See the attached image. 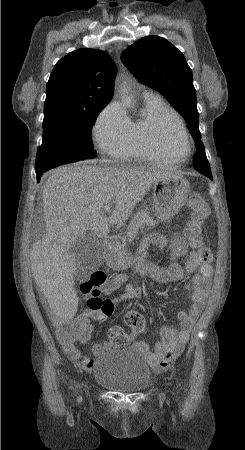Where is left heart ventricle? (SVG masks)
<instances>
[{
	"mask_svg": "<svg viewBox=\"0 0 245 450\" xmlns=\"http://www.w3.org/2000/svg\"><path fill=\"white\" fill-rule=\"evenodd\" d=\"M162 143L174 154L184 155L188 148L184 136L176 124L169 120L155 126Z\"/></svg>",
	"mask_w": 245,
	"mask_h": 450,
	"instance_id": "1",
	"label": "left heart ventricle"
}]
</instances>
